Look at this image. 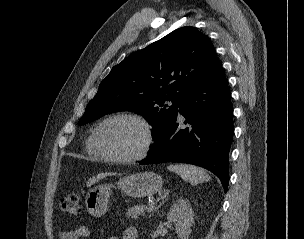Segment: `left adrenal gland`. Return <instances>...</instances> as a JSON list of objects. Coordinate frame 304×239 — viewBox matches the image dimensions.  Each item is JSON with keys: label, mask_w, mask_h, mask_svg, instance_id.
I'll use <instances>...</instances> for the list:
<instances>
[{"label": "left adrenal gland", "mask_w": 304, "mask_h": 239, "mask_svg": "<svg viewBox=\"0 0 304 239\" xmlns=\"http://www.w3.org/2000/svg\"><path fill=\"white\" fill-rule=\"evenodd\" d=\"M162 203H164V201ZM160 206H161V204L158 207H160ZM158 207L155 209V211L158 209Z\"/></svg>", "instance_id": "obj_1"}]
</instances>
